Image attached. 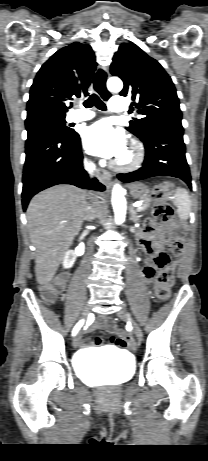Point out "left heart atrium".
<instances>
[{
    "mask_svg": "<svg viewBox=\"0 0 208 461\" xmlns=\"http://www.w3.org/2000/svg\"><path fill=\"white\" fill-rule=\"evenodd\" d=\"M83 142L89 153L104 158H119L126 149L122 130L114 129L106 120L89 126L83 134Z\"/></svg>",
    "mask_w": 208,
    "mask_h": 461,
    "instance_id": "left-heart-atrium-1",
    "label": "left heart atrium"
}]
</instances>
